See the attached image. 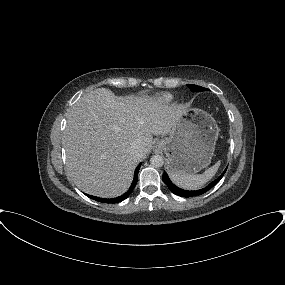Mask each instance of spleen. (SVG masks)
I'll return each mask as SVG.
<instances>
[{
  "label": "spleen",
  "mask_w": 285,
  "mask_h": 285,
  "mask_svg": "<svg viewBox=\"0 0 285 285\" xmlns=\"http://www.w3.org/2000/svg\"><path fill=\"white\" fill-rule=\"evenodd\" d=\"M220 166V161H218L215 165L208 168L203 174H176L170 173V177L172 181L179 187L188 190H195L203 186L218 171Z\"/></svg>",
  "instance_id": "3e777b00"
}]
</instances>
